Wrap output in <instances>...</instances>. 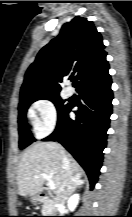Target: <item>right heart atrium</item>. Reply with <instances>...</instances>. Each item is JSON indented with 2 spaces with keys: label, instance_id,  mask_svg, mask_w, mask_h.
I'll use <instances>...</instances> for the list:
<instances>
[{
  "label": "right heart atrium",
  "instance_id": "obj_1",
  "mask_svg": "<svg viewBox=\"0 0 132 217\" xmlns=\"http://www.w3.org/2000/svg\"><path fill=\"white\" fill-rule=\"evenodd\" d=\"M33 109L36 113L34 126L39 136L50 134L57 124V108L49 99H40L34 102Z\"/></svg>",
  "mask_w": 132,
  "mask_h": 217
}]
</instances>
